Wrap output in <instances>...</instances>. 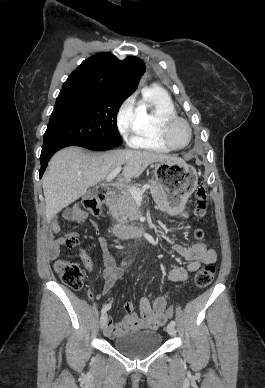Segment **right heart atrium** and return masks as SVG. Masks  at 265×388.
<instances>
[{"mask_svg":"<svg viewBox=\"0 0 265 388\" xmlns=\"http://www.w3.org/2000/svg\"><path fill=\"white\" fill-rule=\"evenodd\" d=\"M140 115L139 103L134 97L128 98L122 105L119 112V126L125 138L135 129Z\"/></svg>","mask_w":265,"mask_h":388,"instance_id":"right-heart-atrium-1","label":"right heart atrium"}]
</instances>
